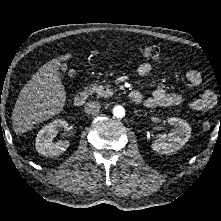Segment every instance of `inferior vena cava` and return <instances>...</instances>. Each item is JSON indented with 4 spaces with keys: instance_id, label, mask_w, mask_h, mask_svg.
Returning a JSON list of instances; mask_svg holds the SVG:
<instances>
[{
    "instance_id": "1",
    "label": "inferior vena cava",
    "mask_w": 221,
    "mask_h": 221,
    "mask_svg": "<svg viewBox=\"0 0 221 221\" xmlns=\"http://www.w3.org/2000/svg\"><path fill=\"white\" fill-rule=\"evenodd\" d=\"M100 104L97 101H88L84 105V112L89 115H96L100 111Z\"/></svg>"
}]
</instances>
